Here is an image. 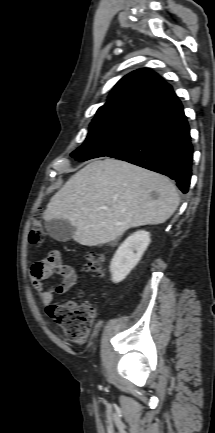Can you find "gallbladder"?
Listing matches in <instances>:
<instances>
[{"label":"gallbladder","mask_w":215,"mask_h":433,"mask_svg":"<svg viewBox=\"0 0 215 433\" xmlns=\"http://www.w3.org/2000/svg\"><path fill=\"white\" fill-rule=\"evenodd\" d=\"M45 227L49 236L59 242L69 241L75 232V227L67 220L52 219L46 222Z\"/></svg>","instance_id":"gallbladder-1"}]
</instances>
